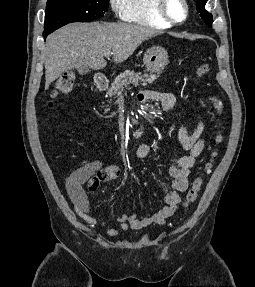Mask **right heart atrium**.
Returning a JSON list of instances; mask_svg holds the SVG:
<instances>
[{
	"instance_id": "right-heart-atrium-1",
	"label": "right heart atrium",
	"mask_w": 255,
	"mask_h": 287,
	"mask_svg": "<svg viewBox=\"0 0 255 287\" xmlns=\"http://www.w3.org/2000/svg\"><path fill=\"white\" fill-rule=\"evenodd\" d=\"M109 48H120V47H109Z\"/></svg>"
}]
</instances>
